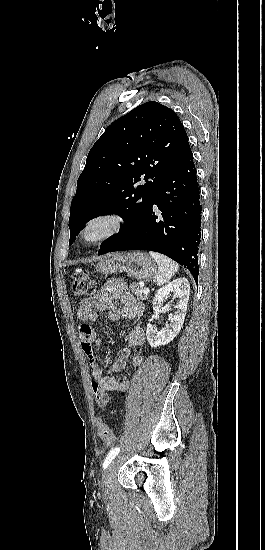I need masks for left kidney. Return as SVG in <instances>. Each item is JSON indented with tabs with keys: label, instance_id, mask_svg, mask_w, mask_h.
<instances>
[{
	"label": "left kidney",
	"instance_id": "5707ae66",
	"mask_svg": "<svg viewBox=\"0 0 265 550\" xmlns=\"http://www.w3.org/2000/svg\"><path fill=\"white\" fill-rule=\"evenodd\" d=\"M170 293H174V298L177 299L178 304L176 311L168 315L169 323H166L160 331L150 323L147 325V340L150 346L154 348L170 343L180 332L186 316L190 295L188 280L179 278L158 289L153 299V306L160 307L163 305Z\"/></svg>",
	"mask_w": 265,
	"mask_h": 550
}]
</instances>
